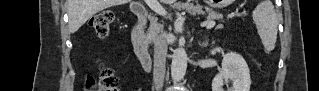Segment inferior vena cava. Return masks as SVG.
Instances as JSON below:
<instances>
[{"mask_svg": "<svg viewBox=\"0 0 319 91\" xmlns=\"http://www.w3.org/2000/svg\"><path fill=\"white\" fill-rule=\"evenodd\" d=\"M167 49L168 47L166 41V34L161 32L154 42L153 79L156 91H160L163 87L166 70Z\"/></svg>", "mask_w": 319, "mask_h": 91, "instance_id": "inferior-vena-cava-1", "label": "inferior vena cava"}]
</instances>
